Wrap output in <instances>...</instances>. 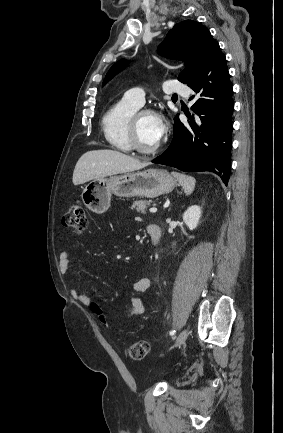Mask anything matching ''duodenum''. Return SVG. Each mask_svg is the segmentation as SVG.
<instances>
[{"label": "duodenum", "mask_w": 283, "mask_h": 433, "mask_svg": "<svg viewBox=\"0 0 283 433\" xmlns=\"http://www.w3.org/2000/svg\"><path fill=\"white\" fill-rule=\"evenodd\" d=\"M147 232L150 235L153 244L158 245L162 234L160 226L156 224L150 225L147 229Z\"/></svg>", "instance_id": "duodenum-1"}]
</instances>
